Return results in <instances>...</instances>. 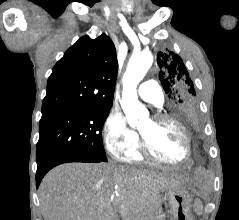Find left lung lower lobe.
Returning <instances> with one entry per match:
<instances>
[{"mask_svg": "<svg viewBox=\"0 0 239 220\" xmlns=\"http://www.w3.org/2000/svg\"><path fill=\"white\" fill-rule=\"evenodd\" d=\"M180 121L188 128H190L196 134L200 129V118L198 115L185 116Z\"/></svg>", "mask_w": 239, "mask_h": 220, "instance_id": "obj_1", "label": "left lung lower lobe"}]
</instances>
